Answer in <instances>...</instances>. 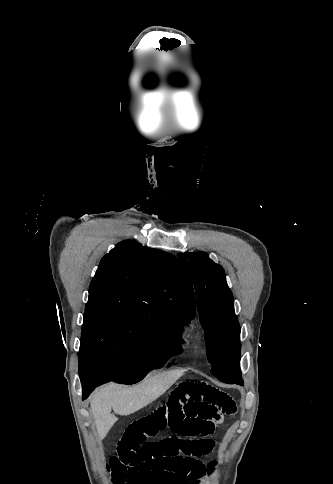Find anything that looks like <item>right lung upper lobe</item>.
Here are the masks:
<instances>
[{
	"instance_id": "1",
	"label": "right lung upper lobe",
	"mask_w": 333,
	"mask_h": 484,
	"mask_svg": "<svg viewBox=\"0 0 333 484\" xmlns=\"http://www.w3.org/2000/svg\"><path fill=\"white\" fill-rule=\"evenodd\" d=\"M125 310L147 316L195 315L191 279L172 254L125 240L100 261L85 311Z\"/></svg>"
}]
</instances>
